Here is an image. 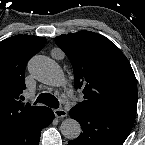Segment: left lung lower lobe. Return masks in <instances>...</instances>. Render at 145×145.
I'll return each instance as SVG.
<instances>
[{"mask_svg": "<svg viewBox=\"0 0 145 145\" xmlns=\"http://www.w3.org/2000/svg\"><path fill=\"white\" fill-rule=\"evenodd\" d=\"M70 116L81 124L83 132L68 145H122L135 120L134 114L98 113L75 107Z\"/></svg>", "mask_w": 145, "mask_h": 145, "instance_id": "0a47b994", "label": "left lung lower lobe"}]
</instances>
